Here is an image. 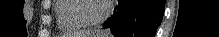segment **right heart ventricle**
<instances>
[{
	"instance_id": "1",
	"label": "right heart ventricle",
	"mask_w": 219,
	"mask_h": 37,
	"mask_svg": "<svg viewBox=\"0 0 219 37\" xmlns=\"http://www.w3.org/2000/svg\"><path fill=\"white\" fill-rule=\"evenodd\" d=\"M78 0H57L54 12L58 27L63 32H72L85 27L76 16V6Z\"/></svg>"
}]
</instances>
